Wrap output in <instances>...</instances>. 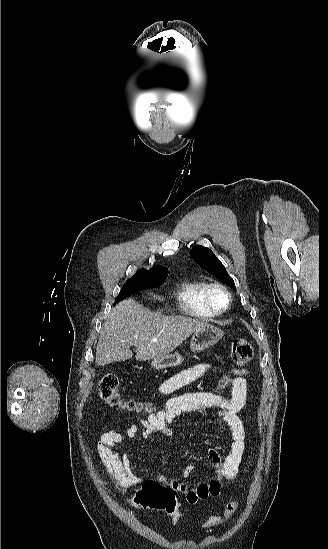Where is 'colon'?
<instances>
[{
	"mask_svg": "<svg viewBox=\"0 0 328 549\" xmlns=\"http://www.w3.org/2000/svg\"><path fill=\"white\" fill-rule=\"evenodd\" d=\"M254 351L250 342L244 338L233 342L230 347V358L237 366L247 364L253 357ZM230 378L224 376L220 381V386L225 387L229 384ZM99 395L107 404L120 406L130 411H152V404L139 403L134 400H125L120 395L119 380L113 373H107L103 376L99 384ZM178 492L173 486H168L165 482L147 480L131 498L130 506L134 509H154L162 510L171 518L174 525H179L183 520V515L178 507ZM238 507L237 500L229 502L225 508L223 516L211 517L204 524L205 528H212L223 524L231 518Z\"/></svg>",
	"mask_w": 328,
	"mask_h": 549,
	"instance_id": "obj_1",
	"label": "colon"
}]
</instances>
